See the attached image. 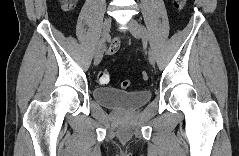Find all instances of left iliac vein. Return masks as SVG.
<instances>
[{
	"label": "left iliac vein",
	"mask_w": 239,
	"mask_h": 156,
	"mask_svg": "<svg viewBox=\"0 0 239 156\" xmlns=\"http://www.w3.org/2000/svg\"><path fill=\"white\" fill-rule=\"evenodd\" d=\"M129 30L135 38H137V39H143L144 38V33L142 31V26L135 19H131L129 21ZM148 60H149L151 65L155 64V61H156L155 54H154L153 50L150 49V48L148 50Z\"/></svg>",
	"instance_id": "obj_1"
}]
</instances>
